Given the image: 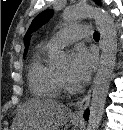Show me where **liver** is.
I'll return each mask as SVG.
<instances>
[{
  "instance_id": "obj_1",
  "label": "liver",
  "mask_w": 123,
  "mask_h": 130,
  "mask_svg": "<svg viewBox=\"0 0 123 130\" xmlns=\"http://www.w3.org/2000/svg\"><path fill=\"white\" fill-rule=\"evenodd\" d=\"M71 116L64 104L54 100H27L15 118L14 130H60Z\"/></svg>"
}]
</instances>
